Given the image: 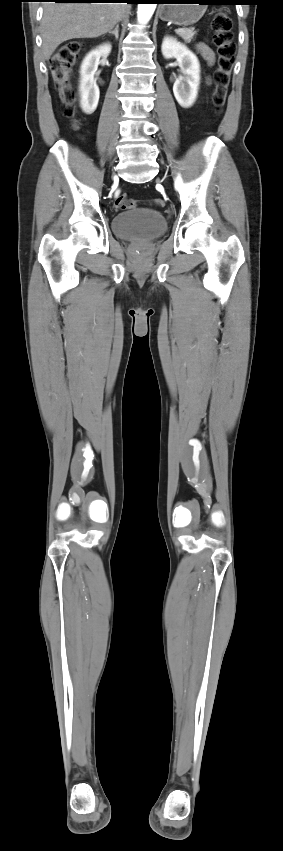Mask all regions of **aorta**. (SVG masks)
<instances>
[{
    "label": "aorta",
    "instance_id": "aorta-1",
    "mask_svg": "<svg viewBox=\"0 0 283 851\" xmlns=\"http://www.w3.org/2000/svg\"><path fill=\"white\" fill-rule=\"evenodd\" d=\"M156 8L155 3H141L138 4L137 17L140 23H147L152 17Z\"/></svg>",
    "mask_w": 283,
    "mask_h": 851
}]
</instances>
